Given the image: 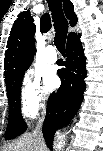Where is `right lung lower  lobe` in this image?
I'll return each instance as SVG.
<instances>
[{"mask_svg":"<svg viewBox=\"0 0 103 151\" xmlns=\"http://www.w3.org/2000/svg\"><path fill=\"white\" fill-rule=\"evenodd\" d=\"M67 58L62 62L65 68L58 70L61 87L48 99L46 117L43 124V136L52 148L55 131L66 125L77 113L85 91L86 58L83 53L80 35L68 37Z\"/></svg>","mask_w":103,"mask_h":151,"instance_id":"obj_1","label":"right lung lower lobe"}]
</instances>
